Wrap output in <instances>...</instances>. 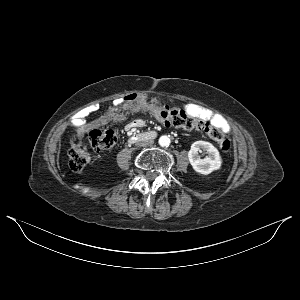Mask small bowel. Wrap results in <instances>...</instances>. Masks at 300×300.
I'll return each mask as SVG.
<instances>
[{"mask_svg": "<svg viewBox=\"0 0 300 300\" xmlns=\"http://www.w3.org/2000/svg\"><path fill=\"white\" fill-rule=\"evenodd\" d=\"M185 110L191 115H198L208 119L214 125H217L223 132H228L230 127L223 117L213 113L212 111L205 109L198 104L186 103L184 105ZM91 113V109L81 110L74 118V124L79 126V133H82V128L86 127V121ZM105 119L103 117L92 121L89 125L96 126L103 124ZM145 126V122L142 119H134L129 124V128H142Z\"/></svg>", "mask_w": 300, "mask_h": 300, "instance_id": "1", "label": "small bowel"}]
</instances>
